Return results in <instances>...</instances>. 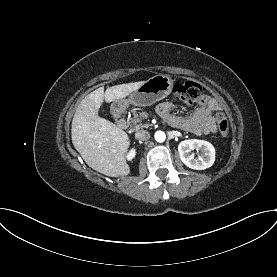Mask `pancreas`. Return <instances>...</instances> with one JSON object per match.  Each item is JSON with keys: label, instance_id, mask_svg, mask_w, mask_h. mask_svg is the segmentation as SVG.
Returning <instances> with one entry per match:
<instances>
[{"label": "pancreas", "instance_id": "1", "mask_svg": "<svg viewBox=\"0 0 277 277\" xmlns=\"http://www.w3.org/2000/svg\"><path fill=\"white\" fill-rule=\"evenodd\" d=\"M142 114H138L136 111H133V117L128 121V124L134 129L139 130L142 128H147V124H142Z\"/></svg>", "mask_w": 277, "mask_h": 277}]
</instances>
